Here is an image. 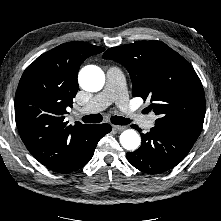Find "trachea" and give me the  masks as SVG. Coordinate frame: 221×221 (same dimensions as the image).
<instances>
[{"mask_svg":"<svg viewBox=\"0 0 221 221\" xmlns=\"http://www.w3.org/2000/svg\"><path fill=\"white\" fill-rule=\"evenodd\" d=\"M102 120L101 114L86 115L82 118V121L85 123H100ZM111 122L115 125H127L131 123V120L120 116H113L111 117Z\"/></svg>","mask_w":221,"mask_h":221,"instance_id":"trachea-1","label":"trachea"}]
</instances>
